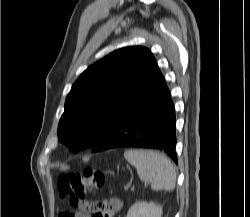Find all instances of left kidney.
Wrapping results in <instances>:
<instances>
[{"label": "left kidney", "mask_w": 250, "mask_h": 217, "mask_svg": "<svg viewBox=\"0 0 250 217\" xmlns=\"http://www.w3.org/2000/svg\"><path fill=\"white\" fill-rule=\"evenodd\" d=\"M162 207L154 202H136L130 207L127 217H161Z\"/></svg>", "instance_id": "obj_1"}]
</instances>
